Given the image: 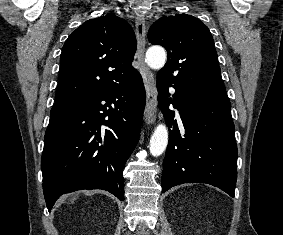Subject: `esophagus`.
<instances>
[{
  "label": "esophagus",
  "instance_id": "1",
  "mask_svg": "<svg viewBox=\"0 0 283 235\" xmlns=\"http://www.w3.org/2000/svg\"><path fill=\"white\" fill-rule=\"evenodd\" d=\"M136 38H137V59L140 73L143 78L146 90V106L144 110V121L146 124H153L156 120L157 110V89L154 77L145 62V19L142 15H137L135 20Z\"/></svg>",
  "mask_w": 283,
  "mask_h": 235
}]
</instances>
